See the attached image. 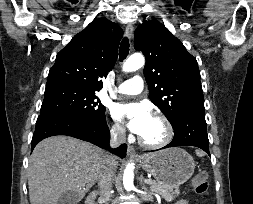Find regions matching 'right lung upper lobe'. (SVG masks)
I'll return each instance as SVG.
<instances>
[{
    "label": "right lung upper lobe",
    "mask_w": 253,
    "mask_h": 204,
    "mask_svg": "<svg viewBox=\"0 0 253 204\" xmlns=\"http://www.w3.org/2000/svg\"><path fill=\"white\" fill-rule=\"evenodd\" d=\"M122 36L116 24L105 18L94 20L57 54L47 85L72 84L99 91L103 87L101 78L116 62Z\"/></svg>",
    "instance_id": "right-lung-upper-lobe-1"
}]
</instances>
